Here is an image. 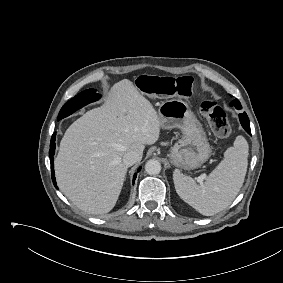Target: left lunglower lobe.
<instances>
[{
	"label": "left lung lower lobe",
	"mask_w": 283,
	"mask_h": 283,
	"mask_svg": "<svg viewBox=\"0 0 283 283\" xmlns=\"http://www.w3.org/2000/svg\"><path fill=\"white\" fill-rule=\"evenodd\" d=\"M239 119H240L241 125L243 126V128L245 129V131H246L248 134L251 135L250 121H249V119H248L247 114H246L245 112L239 114Z\"/></svg>",
	"instance_id": "0a47b994"
}]
</instances>
